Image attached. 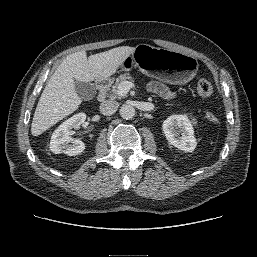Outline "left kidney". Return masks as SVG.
Segmentation results:
<instances>
[{
    "label": "left kidney",
    "instance_id": "left-kidney-1",
    "mask_svg": "<svg viewBox=\"0 0 257 257\" xmlns=\"http://www.w3.org/2000/svg\"><path fill=\"white\" fill-rule=\"evenodd\" d=\"M162 128L166 139L171 145L185 152L194 151L197 142L187 115L169 116L163 122Z\"/></svg>",
    "mask_w": 257,
    "mask_h": 257
}]
</instances>
